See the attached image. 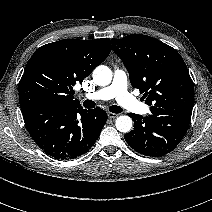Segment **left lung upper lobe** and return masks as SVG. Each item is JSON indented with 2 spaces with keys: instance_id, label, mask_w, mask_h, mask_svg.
Returning <instances> with one entry per match:
<instances>
[{
  "instance_id": "left-lung-upper-lobe-1",
  "label": "left lung upper lobe",
  "mask_w": 212,
  "mask_h": 212,
  "mask_svg": "<svg viewBox=\"0 0 212 212\" xmlns=\"http://www.w3.org/2000/svg\"><path fill=\"white\" fill-rule=\"evenodd\" d=\"M130 82L154 108L192 110L194 86L180 54L169 45L141 34L111 39Z\"/></svg>"
}]
</instances>
